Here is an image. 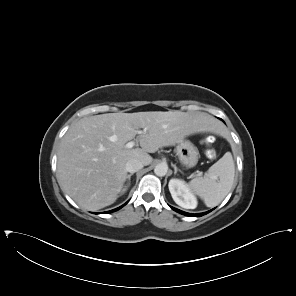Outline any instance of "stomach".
<instances>
[{"mask_svg":"<svg viewBox=\"0 0 296 296\" xmlns=\"http://www.w3.org/2000/svg\"><path fill=\"white\" fill-rule=\"evenodd\" d=\"M198 155L197 147L189 140H182L176 146V156L179 162L187 168L194 167L197 164Z\"/></svg>","mask_w":296,"mask_h":296,"instance_id":"stomach-1","label":"stomach"}]
</instances>
